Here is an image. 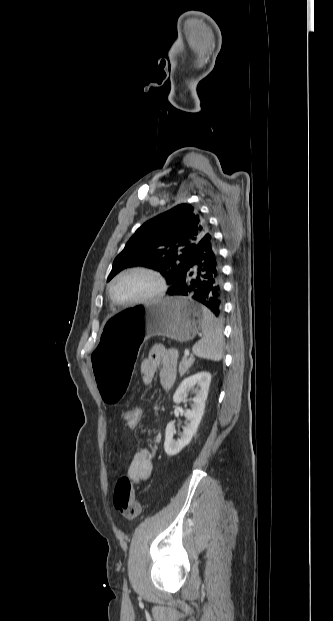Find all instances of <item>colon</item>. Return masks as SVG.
<instances>
[{
	"label": "colon",
	"mask_w": 333,
	"mask_h": 621,
	"mask_svg": "<svg viewBox=\"0 0 333 621\" xmlns=\"http://www.w3.org/2000/svg\"><path fill=\"white\" fill-rule=\"evenodd\" d=\"M143 417L140 408L134 407L124 411L123 419L129 428H136ZM114 506L127 519H135L140 514V505L135 499L132 482L128 476L119 478L114 489Z\"/></svg>",
	"instance_id": "obj_1"
}]
</instances>
